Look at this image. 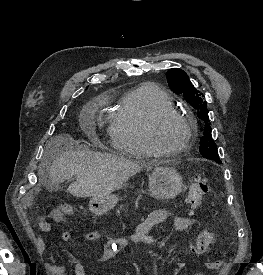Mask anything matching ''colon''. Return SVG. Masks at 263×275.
<instances>
[{
    "label": "colon",
    "mask_w": 263,
    "mask_h": 275,
    "mask_svg": "<svg viewBox=\"0 0 263 275\" xmlns=\"http://www.w3.org/2000/svg\"><path fill=\"white\" fill-rule=\"evenodd\" d=\"M211 190V185L206 179H195L190 186L187 199L191 211L196 210L200 206L202 198L209 194ZM66 214L67 212L64 210H54L50 214V219L54 222H62L65 219ZM214 240V235L211 232L204 231L200 233L192 246L193 252L198 254L206 252L213 245ZM222 263L221 260H215L208 262L206 267L211 270H216L222 266ZM195 275H202V273H196Z\"/></svg>",
    "instance_id": "5ec220e1"
}]
</instances>
